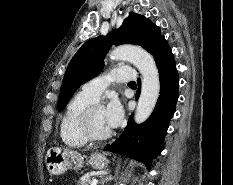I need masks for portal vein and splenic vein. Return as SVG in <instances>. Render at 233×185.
Instances as JSON below:
<instances>
[{
    "label": "portal vein and splenic vein",
    "instance_id": "portal-vein-and-splenic-vein-1",
    "mask_svg": "<svg viewBox=\"0 0 233 185\" xmlns=\"http://www.w3.org/2000/svg\"><path fill=\"white\" fill-rule=\"evenodd\" d=\"M98 183V180L97 179H93L91 182H90V185H97Z\"/></svg>",
    "mask_w": 233,
    "mask_h": 185
}]
</instances>
